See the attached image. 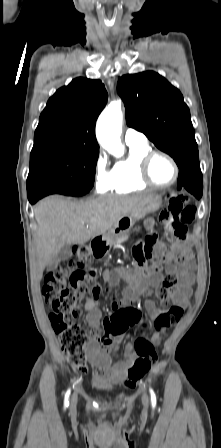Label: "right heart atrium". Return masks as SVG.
Instances as JSON below:
<instances>
[{"label": "right heart atrium", "instance_id": "d8ad5b80", "mask_svg": "<svg viewBox=\"0 0 221 448\" xmlns=\"http://www.w3.org/2000/svg\"><path fill=\"white\" fill-rule=\"evenodd\" d=\"M113 171L109 168V160L104 152L99 153L95 160L94 177L95 187L99 192L110 189Z\"/></svg>", "mask_w": 221, "mask_h": 448}]
</instances>
